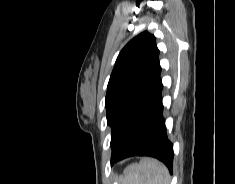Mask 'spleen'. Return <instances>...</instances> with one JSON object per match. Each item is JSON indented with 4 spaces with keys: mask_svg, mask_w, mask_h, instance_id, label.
Here are the masks:
<instances>
[{
    "mask_svg": "<svg viewBox=\"0 0 235 184\" xmlns=\"http://www.w3.org/2000/svg\"><path fill=\"white\" fill-rule=\"evenodd\" d=\"M120 184H170L169 172L159 160L144 158L140 164H131L124 170Z\"/></svg>",
    "mask_w": 235,
    "mask_h": 184,
    "instance_id": "obj_1",
    "label": "spleen"
}]
</instances>
